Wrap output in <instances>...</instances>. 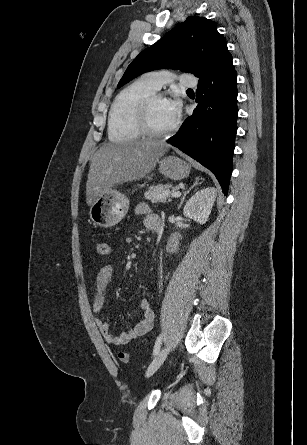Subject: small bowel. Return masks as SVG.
Wrapping results in <instances>:
<instances>
[{"instance_id":"obj_1","label":"small bowel","mask_w":307,"mask_h":445,"mask_svg":"<svg viewBox=\"0 0 307 445\" xmlns=\"http://www.w3.org/2000/svg\"><path fill=\"white\" fill-rule=\"evenodd\" d=\"M138 214H146L144 219L145 227L153 234H157L161 228V219L157 214L149 212L148 208L144 204H140L136 208ZM114 268L111 264L102 267L96 277V295L93 301L92 309L97 315L96 324L109 345L119 346L125 345L143 335H145L153 326L154 312L150 307L149 300L144 296L139 306L142 310L141 320L130 330L114 335L111 332L110 324L105 318L107 312L105 311V290L112 279ZM146 289V286H142Z\"/></svg>"}]
</instances>
